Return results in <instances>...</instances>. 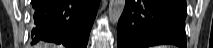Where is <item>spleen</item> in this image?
Returning <instances> with one entry per match:
<instances>
[{
  "instance_id": "1",
  "label": "spleen",
  "mask_w": 213,
  "mask_h": 48,
  "mask_svg": "<svg viewBox=\"0 0 213 48\" xmlns=\"http://www.w3.org/2000/svg\"><path fill=\"white\" fill-rule=\"evenodd\" d=\"M156 48H170V47H167V46H158Z\"/></svg>"
}]
</instances>
